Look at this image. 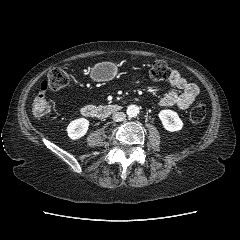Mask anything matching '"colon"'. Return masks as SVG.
<instances>
[{"label":"colon","mask_w":240,"mask_h":240,"mask_svg":"<svg viewBox=\"0 0 240 240\" xmlns=\"http://www.w3.org/2000/svg\"><path fill=\"white\" fill-rule=\"evenodd\" d=\"M171 70L164 61H156L152 64L150 75L153 79L164 81L170 76ZM70 81L69 72L62 67H55L50 70L47 78L41 84V91L32 103V113L37 117L48 116L51 113L53 104L48 97L49 90H58L65 87ZM206 115V107L203 103L197 104L190 112V122L201 123Z\"/></svg>","instance_id":"colon-1"}]
</instances>
